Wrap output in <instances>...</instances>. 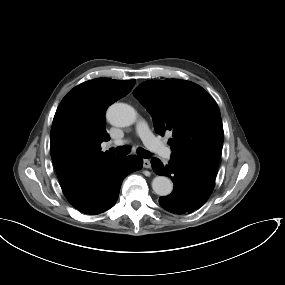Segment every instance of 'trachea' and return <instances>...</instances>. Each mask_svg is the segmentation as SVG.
<instances>
[{
    "label": "trachea",
    "instance_id": "trachea-1",
    "mask_svg": "<svg viewBox=\"0 0 285 285\" xmlns=\"http://www.w3.org/2000/svg\"><path fill=\"white\" fill-rule=\"evenodd\" d=\"M116 152L120 156H125L130 153V147L129 146H119L116 149ZM137 154L141 156L142 158H148L150 157L151 153L143 148L137 149Z\"/></svg>",
    "mask_w": 285,
    "mask_h": 285
}]
</instances>
